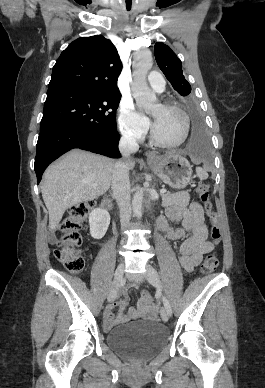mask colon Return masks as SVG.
<instances>
[{"label":"colon","mask_w":265,"mask_h":388,"mask_svg":"<svg viewBox=\"0 0 265 388\" xmlns=\"http://www.w3.org/2000/svg\"><path fill=\"white\" fill-rule=\"evenodd\" d=\"M197 194L204 203L207 216L211 224V239L217 244L221 240V231L218 224L216 212L212 209L209 198V186L205 183H199L196 188ZM94 204L91 202L80 203L72 206L67 216L60 226L61 237L58 246L55 249V257L66 269L72 273H79L85 265V259L80 246L82 237L80 230L82 224L87 219ZM218 266V257L215 252L208 253L201 265V270L205 274L212 273ZM140 296L147 304L153 303V297L147 290H142Z\"/></svg>","instance_id":"1"}]
</instances>
